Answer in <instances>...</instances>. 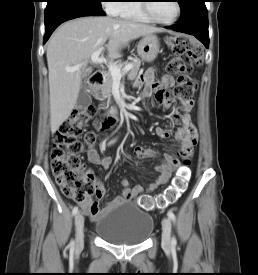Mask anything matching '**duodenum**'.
<instances>
[{
	"instance_id": "410a0bca",
	"label": "duodenum",
	"mask_w": 258,
	"mask_h": 275,
	"mask_svg": "<svg viewBox=\"0 0 258 275\" xmlns=\"http://www.w3.org/2000/svg\"><path fill=\"white\" fill-rule=\"evenodd\" d=\"M103 81H104V74L101 71H96L90 76L89 85L94 93L98 91ZM113 114H115V112H113Z\"/></svg>"
}]
</instances>
